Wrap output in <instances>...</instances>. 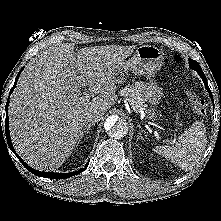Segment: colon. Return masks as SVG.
I'll list each match as a JSON object with an SVG mask.
<instances>
[{"label":"colon","instance_id":"1","mask_svg":"<svg viewBox=\"0 0 221 221\" xmlns=\"http://www.w3.org/2000/svg\"><path fill=\"white\" fill-rule=\"evenodd\" d=\"M176 61L180 62L181 57L177 56ZM184 86H185L186 95H187L189 101L191 102L195 113L200 117H204L207 112L205 101L201 97H199L193 90L188 88L186 86V83H184Z\"/></svg>","mask_w":221,"mask_h":221}]
</instances>
